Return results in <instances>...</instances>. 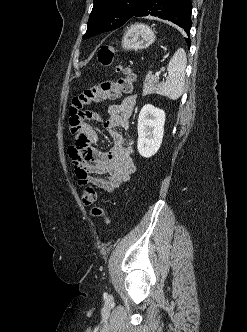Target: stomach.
Wrapping results in <instances>:
<instances>
[{"instance_id": "obj_1", "label": "stomach", "mask_w": 247, "mask_h": 332, "mask_svg": "<svg viewBox=\"0 0 247 332\" xmlns=\"http://www.w3.org/2000/svg\"><path fill=\"white\" fill-rule=\"evenodd\" d=\"M156 39L154 31L147 25L136 23L131 25L122 39L124 50H141L149 47Z\"/></svg>"}]
</instances>
